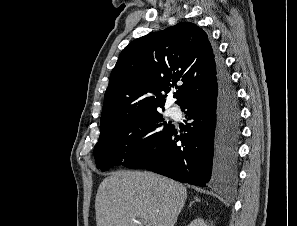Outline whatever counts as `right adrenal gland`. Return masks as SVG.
<instances>
[{
    "mask_svg": "<svg viewBox=\"0 0 297 226\" xmlns=\"http://www.w3.org/2000/svg\"><path fill=\"white\" fill-rule=\"evenodd\" d=\"M194 201H200L197 197L194 198ZM193 202L190 203V206L192 205Z\"/></svg>",
    "mask_w": 297,
    "mask_h": 226,
    "instance_id": "2a0ac1e0",
    "label": "right adrenal gland"
}]
</instances>
